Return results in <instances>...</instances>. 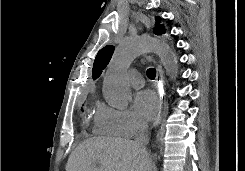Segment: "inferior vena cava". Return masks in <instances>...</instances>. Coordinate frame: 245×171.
<instances>
[{
	"label": "inferior vena cava",
	"instance_id": "obj_1",
	"mask_svg": "<svg viewBox=\"0 0 245 171\" xmlns=\"http://www.w3.org/2000/svg\"><path fill=\"white\" fill-rule=\"evenodd\" d=\"M149 142L148 125L146 122H140L138 126V133L136 135L135 143L142 152L148 155L145 146Z\"/></svg>",
	"mask_w": 245,
	"mask_h": 171
}]
</instances>
